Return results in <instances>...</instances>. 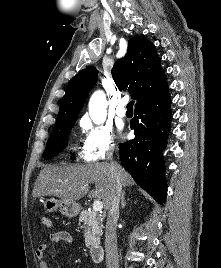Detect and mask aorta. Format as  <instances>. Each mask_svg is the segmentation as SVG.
Instances as JSON below:
<instances>
[{"label":"aorta","instance_id":"1","mask_svg":"<svg viewBox=\"0 0 221 268\" xmlns=\"http://www.w3.org/2000/svg\"><path fill=\"white\" fill-rule=\"evenodd\" d=\"M107 100L103 91H96L89 100V114L95 124H102L107 115Z\"/></svg>","mask_w":221,"mask_h":268}]
</instances>
